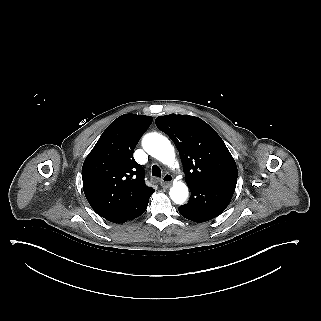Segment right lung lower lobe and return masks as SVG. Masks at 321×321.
I'll list each match as a JSON object with an SVG mask.
<instances>
[{
	"mask_svg": "<svg viewBox=\"0 0 321 321\" xmlns=\"http://www.w3.org/2000/svg\"><path fill=\"white\" fill-rule=\"evenodd\" d=\"M154 190L149 194L142 197L137 202L113 213H109L105 216H102L106 220L113 222V223H124L129 220H133L140 215H142L148 205L149 198L153 194Z\"/></svg>",
	"mask_w": 321,
	"mask_h": 321,
	"instance_id": "1",
	"label": "right lung lower lobe"
}]
</instances>
